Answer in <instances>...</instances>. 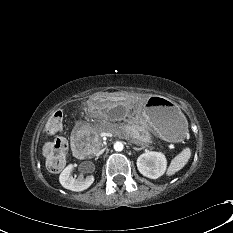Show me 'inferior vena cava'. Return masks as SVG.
Returning a JSON list of instances; mask_svg holds the SVG:
<instances>
[{"label":"inferior vena cava","mask_w":233,"mask_h":233,"mask_svg":"<svg viewBox=\"0 0 233 233\" xmlns=\"http://www.w3.org/2000/svg\"><path fill=\"white\" fill-rule=\"evenodd\" d=\"M103 152H104V149L98 151V152L96 153V156H100Z\"/></svg>","instance_id":"obj_1"}]
</instances>
